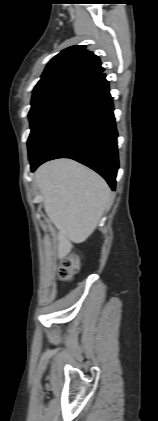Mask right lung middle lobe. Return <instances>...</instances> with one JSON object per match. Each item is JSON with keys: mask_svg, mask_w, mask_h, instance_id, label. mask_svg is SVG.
Here are the masks:
<instances>
[{"mask_svg": "<svg viewBox=\"0 0 158 421\" xmlns=\"http://www.w3.org/2000/svg\"><path fill=\"white\" fill-rule=\"evenodd\" d=\"M79 87L77 84L62 83L33 91L29 112L31 126L28 139L29 157L37 148L54 116Z\"/></svg>", "mask_w": 158, "mask_h": 421, "instance_id": "1", "label": "right lung middle lobe"}]
</instances>
